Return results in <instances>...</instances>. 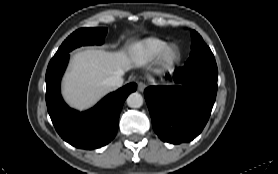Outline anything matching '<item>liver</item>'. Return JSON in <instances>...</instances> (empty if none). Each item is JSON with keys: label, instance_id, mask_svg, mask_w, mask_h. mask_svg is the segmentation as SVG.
Listing matches in <instances>:
<instances>
[{"label": "liver", "instance_id": "obj_1", "mask_svg": "<svg viewBox=\"0 0 278 174\" xmlns=\"http://www.w3.org/2000/svg\"><path fill=\"white\" fill-rule=\"evenodd\" d=\"M138 66L135 53L108 52L88 48L72 56L62 80V95L66 103L80 111L94 106L113 90L106 80Z\"/></svg>", "mask_w": 278, "mask_h": 174}]
</instances>
